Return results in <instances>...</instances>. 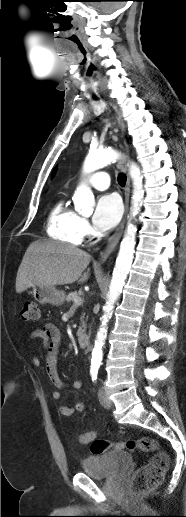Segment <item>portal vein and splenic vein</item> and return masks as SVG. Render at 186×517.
Instances as JSON below:
<instances>
[{
  "label": "portal vein and splenic vein",
  "mask_w": 186,
  "mask_h": 517,
  "mask_svg": "<svg viewBox=\"0 0 186 517\" xmlns=\"http://www.w3.org/2000/svg\"><path fill=\"white\" fill-rule=\"evenodd\" d=\"M73 302H74V305H73V306H75V307H76V306L81 305V303L83 302V300H82L81 298H75Z\"/></svg>",
  "instance_id": "18ae733b"
}]
</instances>
